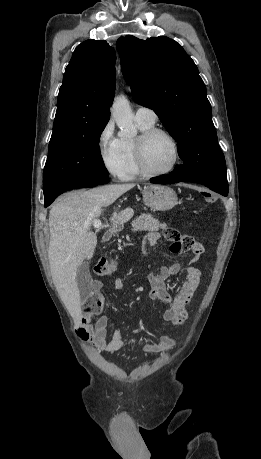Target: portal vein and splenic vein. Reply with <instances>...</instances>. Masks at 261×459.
Returning <instances> with one entry per match:
<instances>
[{
    "label": "portal vein and splenic vein",
    "mask_w": 261,
    "mask_h": 459,
    "mask_svg": "<svg viewBox=\"0 0 261 459\" xmlns=\"http://www.w3.org/2000/svg\"><path fill=\"white\" fill-rule=\"evenodd\" d=\"M92 223H93V226L97 229H100L103 227L102 222L99 218L93 219Z\"/></svg>",
    "instance_id": "1"
}]
</instances>
